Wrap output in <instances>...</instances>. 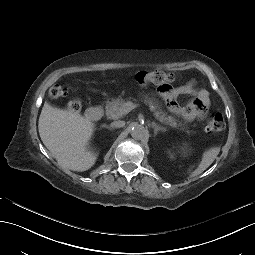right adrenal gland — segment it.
Wrapping results in <instances>:
<instances>
[{"instance_id":"right-adrenal-gland-1","label":"right adrenal gland","mask_w":255,"mask_h":255,"mask_svg":"<svg viewBox=\"0 0 255 255\" xmlns=\"http://www.w3.org/2000/svg\"><path fill=\"white\" fill-rule=\"evenodd\" d=\"M101 128H105L109 131H114V128H112L111 126H108V125H102Z\"/></svg>"}]
</instances>
